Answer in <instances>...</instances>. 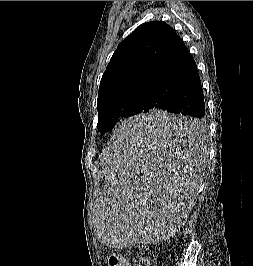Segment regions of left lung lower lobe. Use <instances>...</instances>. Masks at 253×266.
Listing matches in <instances>:
<instances>
[{
	"mask_svg": "<svg viewBox=\"0 0 253 266\" xmlns=\"http://www.w3.org/2000/svg\"><path fill=\"white\" fill-rule=\"evenodd\" d=\"M151 109L188 115L197 119L149 124L148 131L171 138H194L201 134L205 103L197 66L183 40L175 33L153 73L142 112Z\"/></svg>",
	"mask_w": 253,
	"mask_h": 266,
	"instance_id": "obj_1",
	"label": "left lung lower lobe"
}]
</instances>
